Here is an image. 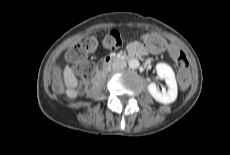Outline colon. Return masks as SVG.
Returning <instances> with one entry per match:
<instances>
[{
    "instance_id": "5ec220e1",
    "label": "colon",
    "mask_w": 230,
    "mask_h": 155,
    "mask_svg": "<svg viewBox=\"0 0 230 155\" xmlns=\"http://www.w3.org/2000/svg\"><path fill=\"white\" fill-rule=\"evenodd\" d=\"M144 40L147 44L154 47L165 46L164 39L159 35L148 34L144 37ZM103 44L109 49L119 48L122 45L120 33L116 30L108 32L103 39ZM96 47L97 40L94 37H89L79 43H76L67 51L66 58L74 64L75 71L78 75L84 78H90L93 75L95 66L92 62L88 61L87 55L88 53L93 52ZM169 53L179 66L177 89L179 91H184L190 81L188 56L176 47H170Z\"/></svg>"
}]
</instances>
